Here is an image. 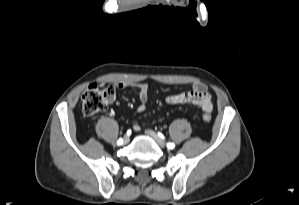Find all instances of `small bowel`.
Returning <instances> with one entry per match:
<instances>
[{
    "instance_id": "c3829d8e",
    "label": "small bowel",
    "mask_w": 299,
    "mask_h": 205,
    "mask_svg": "<svg viewBox=\"0 0 299 205\" xmlns=\"http://www.w3.org/2000/svg\"><path fill=\"white\" fill-rule=\"evenodd\" d=\"M117 86L119 88H125L128 86L135 88L138 92V98L141 101V104L137 107V112L139 114L145 112V103L147 102L149 95V85L147 83H118ZM166 102L170 105H196L205 112H211L213 109L211 95L207 91L206 87L201 83H194L189 91L167 96ZM133 130L139 131L140 125L134 124Z\"/></svg>"
}]
</instances>
